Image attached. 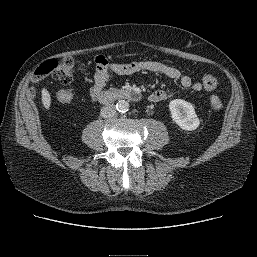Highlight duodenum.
<instances>
[{"label":"duodenum","instance_id":"410a0bca","mask_svg":"<svg viewBox=\"0 0 257 257\" xmlns=\"http://www.w3.org/2000/svg\"><path fill=\"white\" fill-rule=\"evenodd\" d=\"M98 100L102 104H108L114 100H130L133 102H138L141 100V94L131 88L114 91H102L98 95Z\"/></svg>","mask_w":257,"mask_h":257}]
</instances>
